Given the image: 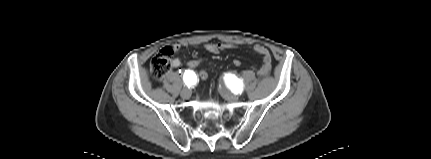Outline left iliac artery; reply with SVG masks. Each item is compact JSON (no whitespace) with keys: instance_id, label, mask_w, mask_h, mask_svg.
Returning a JSON list of instances; mask_svg holds the SVG:
<instances>
[{"instance_id":"1","label":"left iliac artery","mask_w":431,"mask_h":159,"mask_svg":"<svg viewBox=\"0 0 431 159\" xmlns=\"http://www.w3.org/2000/svg\"><path fill=\"white\" fill-rule=\"evenodd\" d=\"M226 84L231 89L232 92L236 94H241L243 91V82L240 79H237L234 75H227Z\"/></svg>"}]
</instances>
